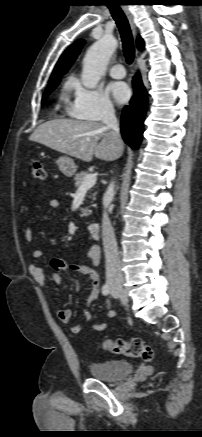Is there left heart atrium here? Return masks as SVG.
Returning <instances> with one entry per match:
<instances>
[{
	"label": "left heart atrium",
	"mask_w": 202,
	"mask_h": 437,
	"mask_svg": "<svg viewBox=\"0 0 202 437\" xmlns=\"http://www.w3.org/2000/svg\"><path fill=\"white\" fill-rule=\"evenodd\" d=\"M108 90L118 103L127 102L131 96L130 89L124 82H113L109 85Z\"/></svg>",
	"instance_id": "left-heart-atrium-1"
}]
</instances>
